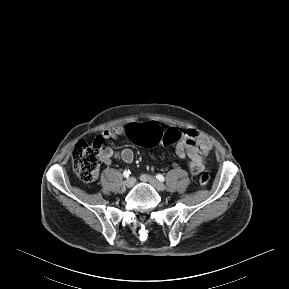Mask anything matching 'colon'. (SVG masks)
Here are the masks:
<instances>
[{
	"instance_id": "5ec220e1",
	"label": "colon",
	"mask_w": 289,
	"mask_h": 289,
	"mask_svg": "<svg viewBox=\"0 0 289 289\" xmlns=\"http://www.w3.org/2000/svg\"><path fill=\"white\" fill-rule=\"evenodd\" d=\"M126 133L135 144L147 148L157 144L169 145L180 141L182 138L179 130H163L156 123H150L142 127L130 125L126 128ZM102 154L103 147L100 138H97L93 144L79 141L75 145L72 152V165L74 171L83 182H92L96 178ZM209 180L210 175L207 172L199 176L201 185L208 184Z\"/></svg>"
}]
</instances>
